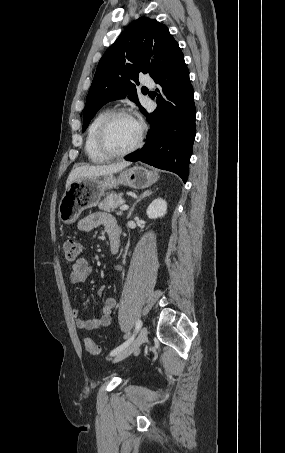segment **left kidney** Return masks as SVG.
Segmentation results:
<instances>
[{"label": "left kidney", "mask_w": 285, "mask_h": 453, "mask_svg": "<svg viewBox=\"0 0 285 453\" xmlns=\"http://www.w3.org/2000/svg\"><path fill=\"white\" fill-rule=\"evenodd\" d=\"M167 212V203L162 198H157L148 206L146 214L150 219L163 217Z\"/></svg>", "instance_id": "left-kidney-1"}]
</instances>
